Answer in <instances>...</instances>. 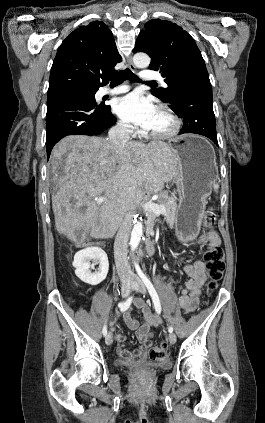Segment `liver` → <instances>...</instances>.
<instances>
[{"instance_id":"6515ba94","label":"liver","mask_w":265,"mask_h":423,"mask_svg":"<svg viewBox=\"0 0 265 423\" xmlns=\"http://www.w3.org/2000/svg\"><path fill=\"white\" fill-rule=\"evenodd\" d=\"M176 161L161 141H131L117 147L100 137L63 138L50 159L56 183L52 194L56 230L76 243L87 234L111 238L146 194L161 191L175 178ZM102 194L105 201L98 205L94 199Z\"/></svg>"}]
</instances>
